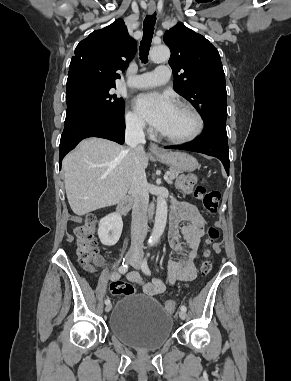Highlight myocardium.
<instances>
[{"instance_id": "obj_1", "label": "myocardium", "mask_w": 291, "mask_h": 381, "mask_svg": "<svg viewBox=\"0 0 291 381\" xmlns=\"http://www.w3.org/2000/svg\"><path fill=\"white\" fill-rule=\"evenodd\" d=\"M176 107H181V108L187 109L188 111H190L194 115V117L196 118L195 130L190 135H188L186 137H172V136L163 134L162 132H160V136L163 139H165L169 142H172V143H176V144L190 143V142L196 140L202 134V132L204 130V126H205L204 118H203L202 114L200 113V111L193 104H191L189 102H185V101L178 102L176 104Z\"/></svg>"}]
</instances>
